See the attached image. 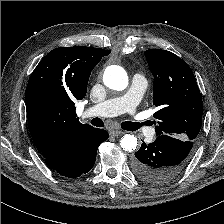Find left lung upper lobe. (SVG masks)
<instances>
[{"instance_id": "obj_1", "label": "left lung upper lobe", "mask_w": 224, "mask_h": 224, "mask_svg": "<svg viewBox=\"0 0 224 224\" xmlns=\"http://www.w3.org/2000/svg\"><path fill=\"white\" fill-rule=\"evenodd\" d=\"M145 56L154 76L156 136L194 141L201 129L203 104L191 68L166 50L149 49Z\"/></svg>"}]
</instances>
